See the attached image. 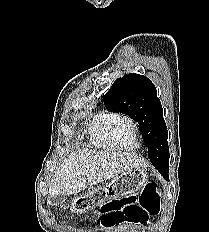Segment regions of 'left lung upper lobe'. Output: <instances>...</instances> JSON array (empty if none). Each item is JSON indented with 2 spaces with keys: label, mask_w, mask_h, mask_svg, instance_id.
I'll return each instance as SVG.
<instances>
[{
  "label": "left lung upper lobe",
  "mask_w": 209,
  "mask_h": 232,
  "mask_svg": "<svg viewBox=\"0 0 209 232\" xmlns=\"http://www.w3.org/2000/svg\"><path fill=\"white\" fill-rule=\"evenodd\" d=\"M104 103L108 110L123 113L138 122L151 163L167 178L168 131L155 85L143 75H124L105 94Z\"/></svg>",
  "instance_id": "1"
}]
</instances>
